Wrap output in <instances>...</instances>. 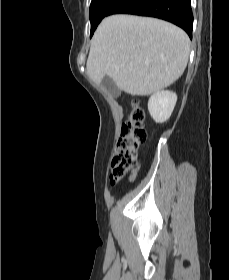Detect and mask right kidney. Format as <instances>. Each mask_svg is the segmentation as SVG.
Here are the masks:
<instances>
[{"label": "right kidney", "mask_w": 229, "mask_h": 280, "mask_svg": "<svg viewBox=\"0 0 229 280\" xmlns=\"http://www.w3.org/2000/svg\"><path fill=\"white\" fill-rule=\"evenodd\" d=\"M177 95L171 91H158L148 101V110L156 123L167 121L176 105Z\"/></svg>", "instance_id": "obj_1"}]
</instances>
